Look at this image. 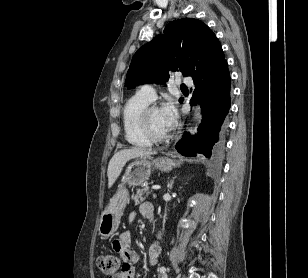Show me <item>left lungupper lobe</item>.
<instances>
[{
    "label": "left lung upper lobe",
    "mask_w": 308,
    "mask_h": 278,
    "mask_svg": "<svg viewBox=\"0 0 308 278\" xmlns=\"http://www.w3.org/2000/svg\"><path fill=\"white\" fill-rule=\"evenodd\" d=\"M224 60L221 44L206 24L193 18L174 20L164 34L134 54L125 86L133 89L144 83H165L170 71H180L193 79L204 77Z\"/></svg>",
    "instance_id": "obj_1"
}]
</instances>
